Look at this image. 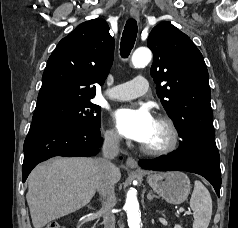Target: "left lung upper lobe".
<instances>
[{
    "mask_svg": "<svg viewBox=\"0 0 238 228\" xmlns=\"http://www.w3.org/2000/svg\"><path fill=\"white\" fill-rule=\"evenodd\" d=\"M147 45L153 52L151 76L157 95L182 138L178 152L186 156L215 141L204 58L190 38L169 22L152 29Z\"/></svg>",
    "mask_w": 238,
    "mask_h": 228,
    "instance_id": "obj_1",
    "label": "left lung upper lobe"
}]
</instances>
